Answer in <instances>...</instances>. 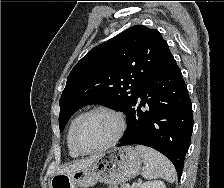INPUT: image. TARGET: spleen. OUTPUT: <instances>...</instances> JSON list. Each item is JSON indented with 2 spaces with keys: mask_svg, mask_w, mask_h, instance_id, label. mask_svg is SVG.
I'll return each instance as SVG.
<instances>
[{
  "mask_svg": "<svg viewBox=\"0 0 224 188\" xmlns=\"http://www.w3.org/2000/svg\"><path fill=\"white\" fill-rule=\"evenodd\" d=\"M135 149L141 155L145 165L142 173L145 179L162 178L171 183L175 181L176 170L169 159L146 146L136 145Z\"/></svg>",
  "mask_w": 224,
  "mask_h": 188,
  "instance_id": "1",
  "label": "spleen"
}]
</instances>
